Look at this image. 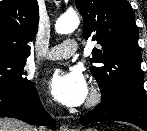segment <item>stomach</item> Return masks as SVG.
I'll list each match as a JSON object with an SVG mask.
<instances>
[{"instance_id":"stomach-1","label":"stomach","mask_w":147,"mask_h":131,"mask_svg":"<svg viewBox=\"0 0 147 131\" xmlns=\"http://www.w3.org/2000/svg\"><path fill=\"white\" fill-rule=\"evenodd\" d=\"M85 131H97L96 129H86Z\"/></svg>"}]
</instances>
